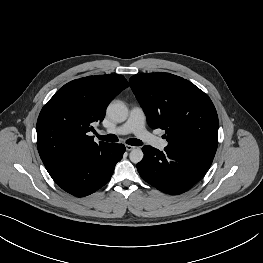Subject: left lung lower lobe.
Instances as JSON below:
<instances>
[{"label": "left lung lower lobe", "instance_id": "obj_1", "mask_svg": "<svg viewBox=\"0 0 263 263\" xmlns=\"http://www.w3.org/2000/svg\"><path fill=\"white\" fill-rule=\"evenodd\" d=\"M143 160L137 164L140 176L167 194L184 193L195 185L212 164L213 158L166 146L163 152L151 146L142 148Z\"/></svg>", "mask_w": 263, "mask_h": 263}]
</instances>
